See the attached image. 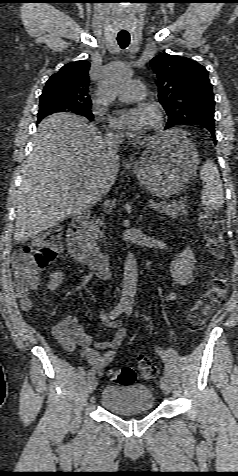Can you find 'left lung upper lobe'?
<instances>
[{
  "label": "left lung upper lobe",
  "instance_id": "left-lung-upper-lobe-1",
  "mask_svg": "<svg viewBox=\"0 0 238 476\" xmlns=\"http://www.w3.org/2000/svg\"><path fill=\"white\" fill-rule=\"evenodd\" d=\"M158 76L159 100L168 115L166 129L178 124L214 122V95L205 67L167 53L150 61Z\"/></svg>",
  "mask_w": 238,
  "mask_h": 476
}]
</instances>
